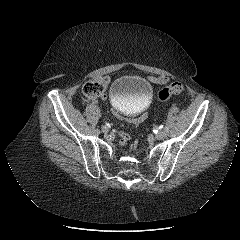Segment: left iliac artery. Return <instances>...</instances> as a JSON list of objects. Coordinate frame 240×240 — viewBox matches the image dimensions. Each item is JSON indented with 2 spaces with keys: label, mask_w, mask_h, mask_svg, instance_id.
Segmentation results:
<instances>
[{
  "label": "left iliac artery",
  "mask_w": 240,
  "mask_h": 240,
  "mask_svg": "<svg viewBox=\"0 0 240 240\" xmlns=\"http://www.w3.org/2000/svg\"><path fill=\"white\" fill-rule=\"evenodd\" d=\"M161 130H162V132H167V130H168V127H167V125L166 124H163L162 125V127H161Z\"/></svg>",
  "instance_id": "1"
}]
</instances>
